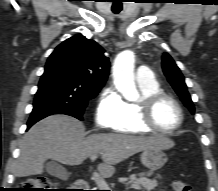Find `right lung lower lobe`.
I'll return each mask as SVG.
<instances>
[{"label": "right lung lower lobe", "mask_w": 218, "mask_h": 191, "mask_svg": "<svg viewBox=\"0 0 218 191\" xmlns=\"http://www.w3.org/2000/svg\"><path fill=\"white\" fill-rule=\"evenodd\" d=\"M52 114H66V115H70L73 117L78 118L79 120H82V115H77L75 113L69 112V111H65V110H61L58 109L57 107L51 106V105H45V106H41L38 107L36 109H33L31 116L28 120L27 123V128L29 129L33 124H35L37 121L52 115Z\"/></svg>", "instance_id": "98d812e1"}]
</instances>
